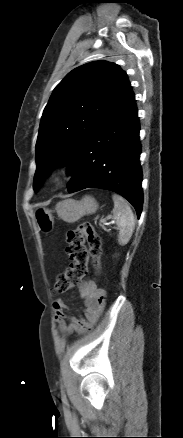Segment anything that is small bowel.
<instances>
[{
  "instance_id": "small-bowel-1",
  "label": "small bowel",
  "mask_w": 183,
  "mask_h": 438,
  "mask_svg": "<svg viewBox=\"0 0 183 438\" xmlns=\"http://www.w3.org/2000/svg\"><path fill=\"white\" fill-rule=\"evenodd\" d=\"M78 293L84 301V318L67 315L69 308L62 298L53 303L55 318L61 330L67 334L72 331L82 334L90 330L100 318L105 307L106 293L94 282H81L78 286Z\"/></svg>"
}]
</instances>
